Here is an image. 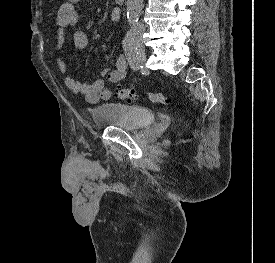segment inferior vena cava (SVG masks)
Returning a JSON list of instances; mask_svg holds the SVG:
<instances>
[{"label":"inferior vena cava","instance_id":"inferior-vena-cava-1","mask_svg":"<svg viewBox=\"0 0 275 263\" xmlns=\"http://www.w3.org/2000/svg\"><path fill=\"white\" fill-rule=\"evenodd\" d=\"M144 30H145V27H144L143 23H141V22H138V23L134 24V26H133V31L136 33H141Z\"/></svg>","mask_w":275,"mask_h":263}]
</instances>
